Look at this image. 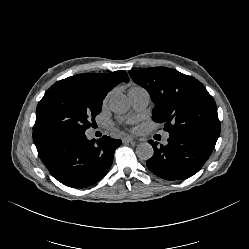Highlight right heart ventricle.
Masks as SVG:
<instances>
[{"label": "right heart ventricle", "instance_id": "1", "mask_svg": "<svg viewBox=\"0 0 249 249\" xmlns=\"http://www.w3.org/2000/svg\"><path fill=\"white\" fill-rule=\"evenodd\" d=\"M140 89H143V88L140 87V86H138V85L133 84V85L129 88V92L136 91V90H140Z\"/></svg>", "mask_w": 249, "mask_h": 249}]
</instances>
